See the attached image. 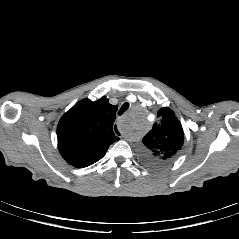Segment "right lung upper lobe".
Returning a JSON list of instances; mask_svg holds the SVG:
<instances>
[{
  "mask_svg": "<svg viewBox=\"0 0 239 239\" xmlns=\"http://www.w3.org/2000/svg\"><path fill=\"white\" fill-rule=\"evenodd\" d=\"M117 109L105 97L94 102L84 99L62 116L57 127L58 148L69 164L90 166L119 140L113 132Z\"/></svg>",
  "mask_w": 239,
  "mask_h": 239,
  "instance_id": "obj_1",
  "label": "right lung upper lobe"
}]
</instances>
